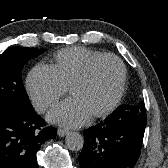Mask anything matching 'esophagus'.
Wrapping results in <instances>:
<instances>
[{
  "instance_id": "34e87169",
  "label": "esophagus",
  "mask_w": 168,
  "mask_h": 168,
  "mask_svg": "<svg viewBox=\"0 0 168 168\" xmlns=\"http://www.w3.org/2000/svg\"><path fill=\"white\" fill-rule=\"evenodd\" d=\"M57 132H58V136L64 137V136H66L69 133V130L59 128Z\"/></svg>"
}]
</instances>
